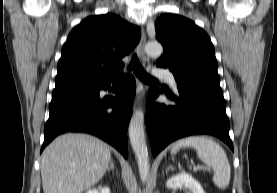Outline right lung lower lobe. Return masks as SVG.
<instances>
[{"mask_svg":"<svg viewBox=\"0 0 277 193\" xmlns=\"http://www.w3.org/2000/svg\"><path fill=\"white\" fill-rule=\"evenodd\" d=\"M121 74L89 84L55 87L49 105V119L44 128L41 151L56 136L65 132H86L114 146L127 158V129L132 115L136 83L131 76ZM115 97L101 98L100 90H111Z\"/></svg>","mask_w":277,"mask_h":193,"instance_id":"right-lung-lower-lobe-1","label":"right lung lower lobe"}]
</instances>
